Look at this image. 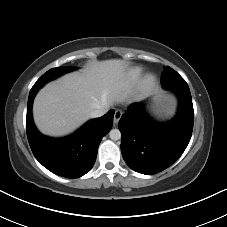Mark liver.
<instances>
[{
	"label": "liver",
	"instance_id": "liver-1",
	"mask_svg": "<svg viewBox=\"0 0 227 227\" xmlns=\"http://www.w3.org/2000/svg\"><path fill=\"white\" fill-rule=\"evenodd\" d=\"M127 68L120 59L96 61L48 83L34 100L36 126L43 134L63 136L85 123L93 110L124 101L132 89Z\"/></svg>",
	"mask_w": 227,
	"mask_h": 227
}]
</instances>
